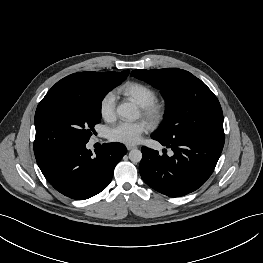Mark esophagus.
Instances as JSON below:
<instances>
[{"instance_id": "esophagus-1", "label": "esophagus", "mask_w": 263, "mask_h": 263, "mask_svg": "<svg viewBox=\"0 0 263 263\" xmlns=\"http://www.w3.org/2000/svg\"><path fill=\"white\" fill-rule=\"evenodd\" d=\"M126 147H127V149H128V150H132V149H135V148H137V147H136V146H134V145H127Z\"/></svg>"}]
</instances>
